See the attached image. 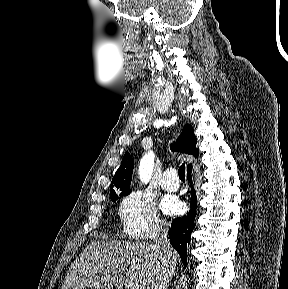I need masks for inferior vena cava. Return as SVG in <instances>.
<instances>
[{"mask_svg":"<svg viewBox=\"0 0 288 289\" xmlns=\"http://www.w3.org/2000/svg\"><path fill=\"white\" fill-rule=\"evenodd\" d=\"M155 250L158 252L164 265L162 275L166 282L173 277L175 272V262L173 259V249L168 240V226L162 225L156 238Z\"/></svg>","mask_w":288,"mask_h":289,"instance_id":"inferior-vena-cava-1","label":"inferior vena cava"}]
</instances>
